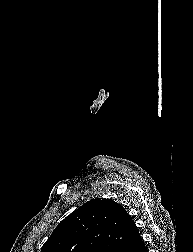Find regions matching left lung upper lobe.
Here are the masks:
<instances>
[{
    "label": "left lung upper lobe",
    "mask_w": 193,
    "mask_h": 252,
    "mask_svg": "<svg viewBox=\"0 0 193 252\" xmlns=\"http://www.w3.org/2000/svg\"><path fill=\"white\" fill-rule=\"evenodd\" d=\"M135 222L111 199H92L55 228L41 252H122Z\"/></svg>",
    "instance_id": "5c2ea615"
}]
</instances>
